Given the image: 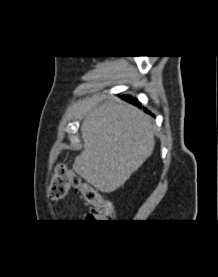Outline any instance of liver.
Returning a JSON list of instances; mask_svg holds the SVG:
<instances>
[{"instance_id":"liver-1","label":"liver","mask_w":218,"mask_h":277,"mask_svg":"<svg viewBox=\"0 0 218 277\" xmlns=\"http://www.w3.org/2000/svg\"><path fill=\"white\" fill-rule=\"evenodd\" d=\"M82 117L83 151L73 170L98 191L111 193L151 156L155 126L149 116L118 99L88 104Z\"/></svg>"}]
</instances>
